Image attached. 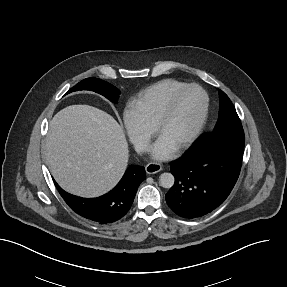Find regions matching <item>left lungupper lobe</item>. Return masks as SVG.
<instances>
[{
  "instance_id": "left-lung-upper-lobe-1",
  "label": "left lung upper lobe",
  "mask_w": 287,
  "mask_h": 287,
  "mask_svg": "<svg viewBox=\"0 0 287 287\" xmlns=\"http://www.w3.org/2000/svg\"><path fill=\"white\" fill-rule=\"evenodd\" d=\"M219 96L220 105L217 125L213 132L202 136L210 141H219L223 139L245 141L241 121L232 102L221 90H219Z\"/></svg>"
}]
</instances>
